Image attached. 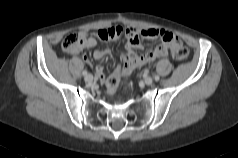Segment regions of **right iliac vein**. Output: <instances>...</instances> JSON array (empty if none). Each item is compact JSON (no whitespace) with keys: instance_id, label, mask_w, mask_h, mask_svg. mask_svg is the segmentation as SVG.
<instances>
[{"instance_id":"1","label":"right iliac vein","mask_w":238,"mask_h":158,"mask_svg":"<svg viewBox=\"0 0 238 158\" xmlns=\"http://www.w3.org/2000/svg\"><path fill=\"white\" fill-rule=\"evenodd\" d=\"M84 79L86 82L91 83L93 81V76L91 74H87Z\"/></svg>"}]
</instances>
